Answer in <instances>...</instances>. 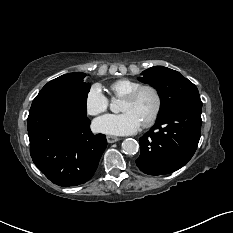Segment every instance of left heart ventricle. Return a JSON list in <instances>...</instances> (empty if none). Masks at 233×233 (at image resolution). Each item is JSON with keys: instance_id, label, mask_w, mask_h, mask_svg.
<instances>
[{"instance_id": "1", "label": "left heart ventricle", "mask_w": 233, "mask_h": 233, "mask_svg": "<svg viewBox=\"0 0 233 233\" xmlns=\"http://www.w3.org/2000/svg\"><path fill=\"white\" fill-rule=\"evenodd\" d=\"M156 105L155 96L152 91L144 90L133 101L122 100L120 110L122 112H133L142 123H144L154 111Z\"/></svg>"}]
</instances>
